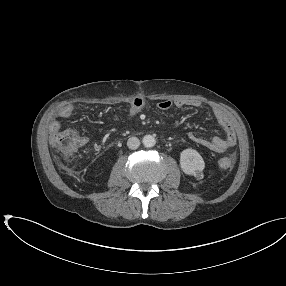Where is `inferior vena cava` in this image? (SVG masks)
<instances>
[{"mask_svg":"<svg viewBox=\"0 0 286 286\" xmlns=\"http://www.w3.org/2000/svg\"><path fill=\"white\" fill-rule=\"evenodd\" d=\"M129 149L135 150L140 146V140L137 137H130L127 141Z\"/></svg>","mask_w":286,"mask_h":286,"instance_id":"602c4592","label":"inferior vena cava"}]
</instances>
